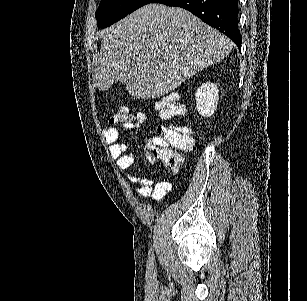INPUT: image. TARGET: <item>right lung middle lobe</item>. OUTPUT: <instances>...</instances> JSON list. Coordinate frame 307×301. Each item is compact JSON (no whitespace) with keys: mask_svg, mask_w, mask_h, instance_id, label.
I'll use <instances>...</instances> for the list:
<instances>
[{"mask_svg":"<svg viewBox=\"0 0 307 301\" xmlns=\"http://www.w3.org/2000/svg\"><path fill=\"white\" fill-rule=\"evenodd\" d=\"M153 0H101L95 13L97 25L105 28Z\"/></svg>","mask_w":307,"mask_h":301,"instance_id":"1","label":"right lung middle lobe"}]
</instances>
